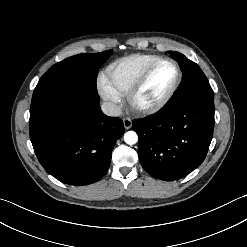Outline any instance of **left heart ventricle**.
I'll list each match as a JSON object with an SVG mask.
<instances>
[{
	"label": "left heart ventricle",
	"mask_w": 247,
	"mask_h": 247,
	"mask_svg": "<svg viewBox=\"0 0 247 247\" xmlns=\"http://www.w3.org/2000/svg\"><path fill=\"white\" fill-rule=\"evenodd\" d=\"M175 78L176 68L172 63L165 61L158 64L140 90L137 100L146 104L161 98L172 87Z\"/></svg>",
	"instance_id": "b2bd125f"
}]
</instances>
